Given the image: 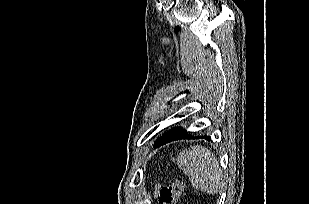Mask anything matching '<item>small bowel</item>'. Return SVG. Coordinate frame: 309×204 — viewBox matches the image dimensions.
Here are the masks:
<instances>
[{
	"label": "small bowel",
	"mask_w": 309,
	"mask_h": 204,
	"mask_svg": "<svg viewBox=\"0 0 309 204\" xmlns=\"http://www.w3.org/2000/svg\"><path fill=\"white\" fill-rule=\"evenodd\" d=\"M160 188H161V185H160V184H158V185L155 187V191H154L155 197H157Z\"/></svg>",
	"instance_id": "obj_1"
}]
</instances>
